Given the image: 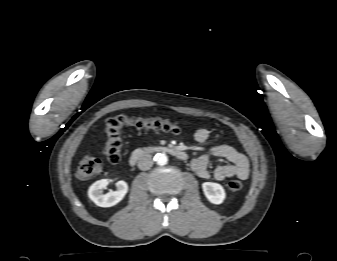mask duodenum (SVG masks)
<instances>
[{
  "instance_id": "obj_1",
  "label": "duodenum",
  "mask_w": 337,
  "mask_h": 261,
  "mask_svg": "<svg viewBox=\"0 0 337 261\" xmlns=\"http://www.w3.org/2000/svg\"><path fill=\"white\" fill-rule=\"evenodd\" d=\"M153 152L170 154L182 161H186L188 159V155L185 151L176 148L174 146H167V145L146 146L136 149L131 154L129 158L130 165L135 166L147 154Z\"/></svg>"
}]
</instances>
